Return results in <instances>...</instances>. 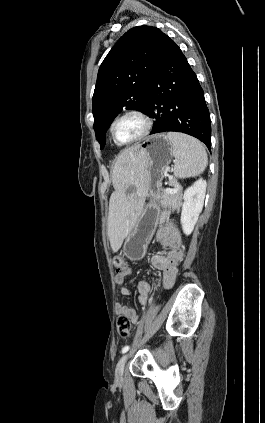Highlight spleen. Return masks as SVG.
<instances>
[{
    "instance_id": "3e777b00",
    "label": "spleen",
    "mask_w": 265,
    "mask_h": 423,
    "mask_svg": "<svg viewBox=\"0 0 265 423\" xmlns=\"http://www.w3.org/2000/svg\"><path fill=\"white\" fill-rule=\"evenodd\" d=\"M175 157L174 176L180 179L195 177L204 172L208 164L205 147L188 135L168 132Z\"/></svg>"
}]
</instances>
